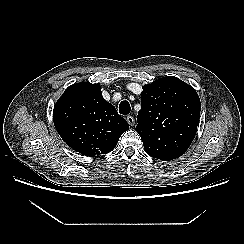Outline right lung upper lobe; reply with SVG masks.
<instances>
[{"instance_id":"right-lung-upper-lobe-1","label":"right lung upper lobe","mask_w":244,"mask_h":244,"mask_svg":"<svg viewBox=\"0 0 244 244\" xmlns=\"http://www.w3.org/2000/svg\"><path fill=\"white\" fill-rule=\"evenodd\" d=\"M53 121L66 144L89 157L112 151L129 129L115 107L103 98L99 83L69 86L54 106Z\"/></svg>"}]
</instances>
